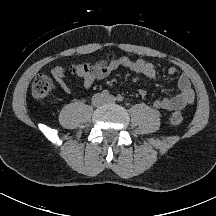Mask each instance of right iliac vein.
<instances>
[{
    "mask_svg": "<svg viewBox=\"0 0 216 216\" xmlns=\"http://www.w3.org/2000/svg\"><path fill=\"white\" fill-rule=\"evenodd\" d=\"M92 103L95 106H101L104 103V97L102 94H96L92 99Z\"/></svg>",
    "mask_w": 216,
    "mask_h": 216,
    "instance_id": "1",
    "label": "right iliac vein"
}]
</instances>
